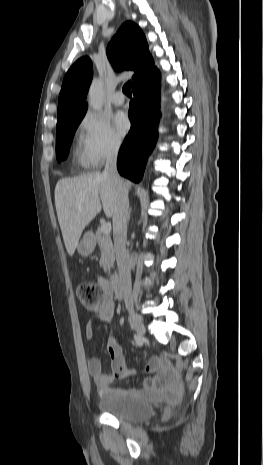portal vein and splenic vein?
<instances>
[{"mask_svg":"<svg viewBox=\"0 0 263 465\" xmlns=\"http://www.w3.org/2000/svg\"><path fill=\"white\" fill-rule=\"evenodd\" d=\"M101 230L103 233L109 234L111 232V224L110 223L101 224Z\"/></svg>","mask_w":263,"mask_h":465,"instance_id":"18ae733b","label":"portal vein and splenic vein"}]
</instances>
